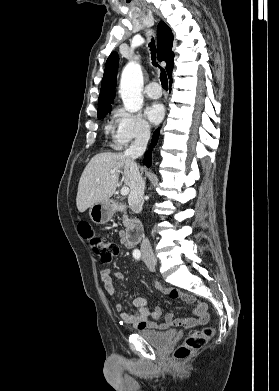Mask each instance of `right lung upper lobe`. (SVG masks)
<instances>
[{"instance_id":"right-lung-upper-lobe-1","label":"right lung upper lobe","mask_w":279,"mask_h":391,"mask_svg":"<svg viewBox=\"0 0 279 391\" xmlns=\"http://www.w3.org/2000/svg\"><path fill=\"white\" fill-rule=\"evenodd\" d=\"M157 42V58L159 61H166V71L168 77L171 78L174 58L172 52L173 34L171 29L164 22L158 24ZM118 62L119 58L117 53H111L107 59L102 79L101 91L98 99V112L109 109L110 104L114 100Z\"/></svg>"}]
</instances>
